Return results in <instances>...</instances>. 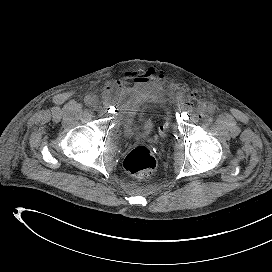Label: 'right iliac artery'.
<instances>
[{
    "label": "right iliac artery",
    "instance_id": "82829eb1",
    "mask_svg": "<svg viewBox=\"0 0 272 272\" xmlns=\"http://www.w3.org/2000/svg\"><path fill=\"white\" fill-rule=\"evenodd\" d=\"M84 102L86 105H90L91 104V97L90 96H86L84 99Z\"/></svg>",
    "mask_w": 272,
    "mask_h": 272
}]
</instances>
